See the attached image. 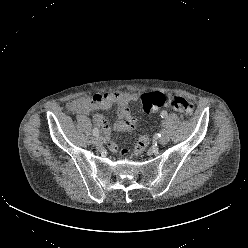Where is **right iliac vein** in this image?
Listing matches in <instances>:
<instances>
[{"label":"right iliac vein","instance_id":"obj_1","mask_svg":"<svg viewBox=\"0 0 248 248\" xmlns=\"http://www.w3.org/2000/svg\"><path fill=\"white\" fill-rule=\"evenodd\" d=\"M92 142H93V144H94L95 146H101V145L103 144V140H102V138H101L99 135L94 136V137L92 138Z\"/></svg>","mask_w":248,"mask_h":248}]
</instances>
